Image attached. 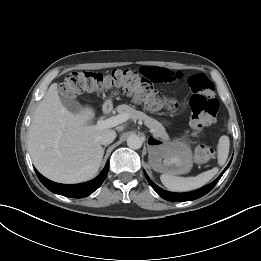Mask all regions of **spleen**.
I'll use <instances>...</instances> for the list:
<instances>
[{"label": "spleen", "mask_w": 261, "mask_h": 261, "mask_svg": "<svg viewBox=\"0 0 261 261\" xmlns=\"http://www.w3.org/2000/svg\"><path fill=\"white\" fill-rule=\"evenodd\" d=\"M229 137L223 135L219 139L218 143V163L224 165L229 154ZM218 173V168H213L206 172H203L195 177H177L169 174H162L160 176L162 184L170 191L174 192H186L198 189L204 186Z\"/></svg>", "instance_id": "obj_1"}]
</instances>
